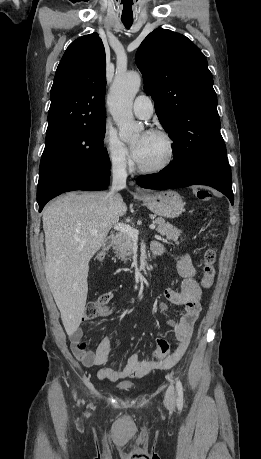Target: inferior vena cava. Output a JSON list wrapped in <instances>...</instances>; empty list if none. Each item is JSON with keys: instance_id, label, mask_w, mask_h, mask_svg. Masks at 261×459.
Segmentation results:
<instances>
[{"instance_id": "inferior-vena-cava-1", "label": "inferior vena cava", "mask_w": 261, "mask_h": 459, "mask_svg": "<svg viewBox=\"0 0 261 459\" xmlns=\"http://www.w3.org/2000/svg\"><path fill=\"white\" fill-rule=\"evenodd\" d=\"M112 187L109 192L111 202H116L121 199L118 191L126 187L127 171L126 163L123 159L116 160L112 165Z\"/></svg>"}]
</instances>
